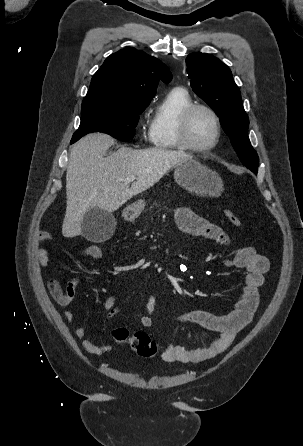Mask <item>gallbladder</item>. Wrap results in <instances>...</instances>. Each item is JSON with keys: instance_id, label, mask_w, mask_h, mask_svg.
I'll list each match as a JSON object with an SVG mask.
<instances>
[{"instance_id": "bac80fb5", "label": "gallbladder", "mask_w": 303, "mask_h": 446, "mask_svg": "<svg viewBox=\"0 0 303 446\" xmlns=\"http://www.w3.org/2000/svg\"><path fill=\"white\" fill-rule=\"evenodd\" d=\"M116 226L114 216L98 207L88 211L81 222V234L90 241L101 242L109 239Z\"/></svg>"}]
</instances>
